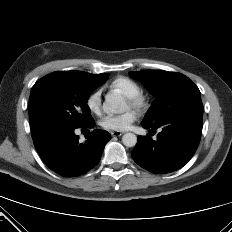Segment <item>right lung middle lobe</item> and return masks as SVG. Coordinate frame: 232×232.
<instances>
[{"instance_id": "right-lung-middle-lobe-1", "label": "right lung middle lobe", "mask_w": 232, "mask_h": 232, "mask_svg": "<svg viewBox=\"0 0 232 232\" xmlns=\"http://www.w3.org/2000/svg\"><path fill=\"white\" fill-rule=\"evenodd\" d=\"M107 74L54 72L38 80L29 99L31 130L49 127L82 128L93 123L89 94L105 83Z\"/></svg>"}]
</instances>
